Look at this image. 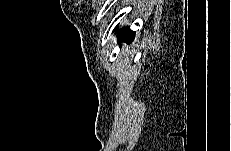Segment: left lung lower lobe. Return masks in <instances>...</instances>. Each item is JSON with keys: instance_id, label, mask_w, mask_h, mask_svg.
<instances>
[{"instance_id": "1", "label": "left lung lower lobe", "mask_w": 231, "mask_h": 151, "mask_svg": "<svg viewBox=\"0 0 231 151\" xmlns=\"http://www.w3.org/2000/svg\"><path fill=\"white\" fill-rule=\"evenodd\" d=\"M134 35L135 32L130 30L129 27L120 29L118 32V42L126 41L128 43H131L134 40Z\"/></svg>"}]
</instances>
